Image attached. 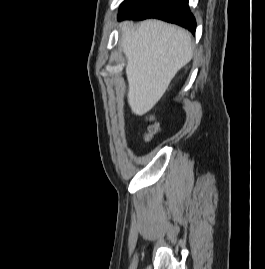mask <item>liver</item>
<instances>
[{
	"label": "liver",
	"mask_w": 265,
	"mask_h": 269,
	"mask_svg": "<svg viewBox=\"0 0 265 269\" xmlns=\"http://www.w3.org/2000/svg\"><path fill=\"white\" fill-rule=\"evenodd\" d=\"M127 59L128 104L136 115L150 111L176 73L193 56L191 34L178 26L149 19L140 25L120 24Z\"/></svg>",
	"instance_id": "liver-1"
}]
</instances>
